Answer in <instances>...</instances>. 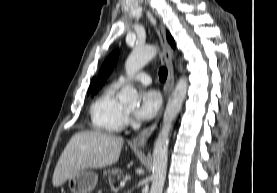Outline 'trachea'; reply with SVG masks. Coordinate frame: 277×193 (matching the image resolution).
<instances>
[{
    "label": "trachea",
    "mask_w": 277,
    "mask_h": 193,
    "mask_svg": "<svg viewBox=\"0 0 277 193\" xmlns=\"http://www.w3.org/2000/svg\"><path fill=\"white\" fill-rule=\"evenodd\" d=\"M167 78V69L165 67H161L159 69V79L164 82Z\"/></svg>",
    "instance_id": "trachea-1"
}]
</instances>
